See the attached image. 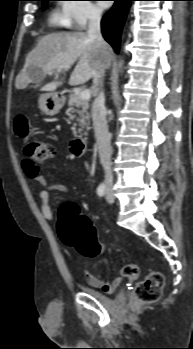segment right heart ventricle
<instances>
[{
  "instance_id": "obj_1",
  "label": "right heart ventricle",
  "mask_w": 193,
  "mask_h": 349,
  "mask_svg": "<svg viewBox=\"0 0 193 349\" xmlns=\"http://www.w3.org/2000/svg\"><path fill=\"white\" fill-rule=\"evenodd\" d=\"M50 22L54 26H58V27L68 26L66 17L62 12H59V11H55L51 14Z\"/></svg>"
}]
</instances>
